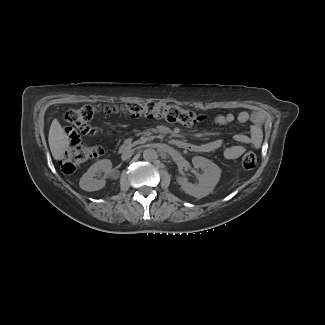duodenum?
Masks as SVG:
<instances>
[{
	"instance_id": "410a0bca",
	"label": "duodenum",
	"mask_w": 325,
	"mask_h": 325,
	"mask_svg": "<svg viewBox=\"0 0 325 325\" xmlns=\"http://www.w3.org/2000/svg\"><path fill=\"white\" fill-rule=\"evenodd\" d=\"M171 145L175 146L176 148L178 149H188L191 147V144L186 142V141H183V140H179V139H172L171 140ZM131 144L130 143H124L120 146L119 148V152L121 154H127L131 151Z\"/></svg>"
}]
</instances>
